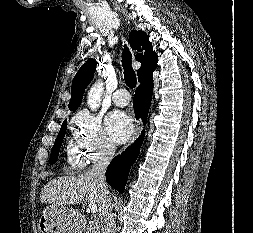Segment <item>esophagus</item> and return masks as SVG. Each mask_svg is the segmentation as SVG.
<instances>
[{
	"label": "esophagus",
	"mask_w": 253,
	"mask_h": 233,
	"mask_svg": "<svg viewBox=\"0 0 253 233\" xmlns=\"http://www.w3.org/2000/svg\"><path fill=\"white\" fill-rule=\"evenodd\" d=\"M141 130H142V123H141V121H139L138 124H137V127L135 129L134 137H133L132 142H134L138 138V136L141 133Z\"/></svg>",
	"instance_id": "34e87169"
}]
</instances>
